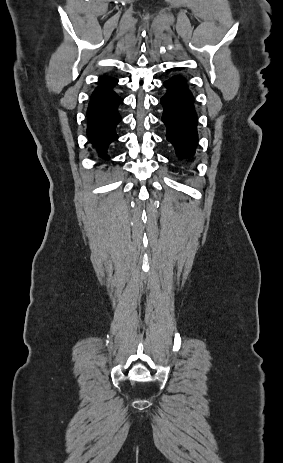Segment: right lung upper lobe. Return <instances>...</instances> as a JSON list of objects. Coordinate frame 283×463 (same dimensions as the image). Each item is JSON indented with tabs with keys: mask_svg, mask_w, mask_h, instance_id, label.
I'll list each match as a JSON object with an SVG mask.
<instances>
[{
	"mask_svg": "<svg viewBox=\"0 0 283 463\" xmlns=\"http://www.w3.org/2000/svg\"><path fill=\"white\" fill-rule=\"evenodd\" d=\"M105 78H108V77L107 76L100 77L99 80H102V79H105Z\"/></svg>",
	"mask_w": 283,
	"mask_h": 463,
	"instance_id": "cb5924a9",
	"label": "right lung upper lobe"
}]
</instances>
